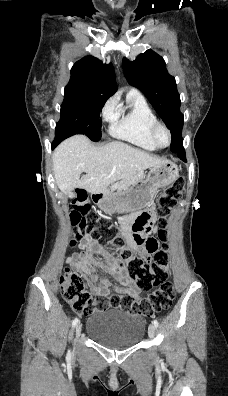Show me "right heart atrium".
I'll use <instances>...</instances> for the list:
<instances>
[{"label": "right heart atrium", "instance_id": "right-heart-atrium-1", "mask_svg": "<svg viewBox=\"0 0 228 396\" xmlns=\"http://www.w3.org/2000/svg\"><path fill=\"white\" fill-rule=\"evenodd\" d=\"M116 114V103L114 99H109L101 110V116L105 121H112Z\"/></svg>", "mask_w": 228, "mask_h": 396}]
</instances>
